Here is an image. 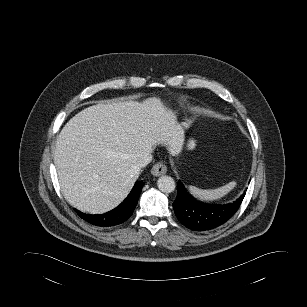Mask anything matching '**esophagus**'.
<instances>
[{"label":"esophagus","instance_id":"obj_1","mask_svg":"<svg viewBox=\"0 0 307 307\" xmlns=\"http://www.w3.org/2000/svg\"><path fill=\"white\" fill-rule=\"evenodd\" d=\"M167 172V167L165 164L158 162L156 164L153 165L152 169H151V173L154 176H160L163 175Z\"/></svg>","mask_w":307,"mask_h":307}]
</instances>
